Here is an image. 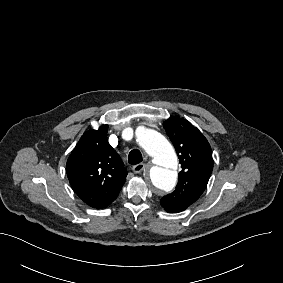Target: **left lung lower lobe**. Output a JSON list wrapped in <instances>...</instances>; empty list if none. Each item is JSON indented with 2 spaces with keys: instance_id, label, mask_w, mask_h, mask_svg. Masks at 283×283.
<instances>
[{
  "instance_id": "left-lung-lower-lobe-1",
  "label": "left lung lower lobe",
  "mask_w": 283,
  "mask_h": 283,
  "mask_svg": "<svg viewBox=\"0 0 283 283\" xmlns=\"http://www.w3.org/2000/svg\"><path fill=\"white\" fill-rule=\"evenodd\" d=\"M163 208L167 211V212H169V213H177V212H174V211H172V210H170L168 207H166V206H163Z\"/></svg>"
}]
</instances>
